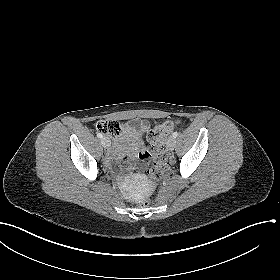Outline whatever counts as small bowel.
<instances>
[{"label": "small bowel", "mask_w": 280, "mask_h": 280, "mask_svg": "<svg viewBox=\"0 0 280 280\" xmlns=\"http://www.w3.org/2000/svg\"><path fill=\"white\" fill-rule=\"evenodd\" d=\"M134 129L145 132L149 129V122L147 120L137 119L125 125L123 132L125 136L132 137L131 143L127 146L123 136L116 137L114 139L113 148L107 153L106 159L109 164L114 160H119L123 163L134 166H146L150 158V154L145 147L141 136L132 131Z\"/></svg>", "instance_id": "c3829d8e"}]
</instances>
